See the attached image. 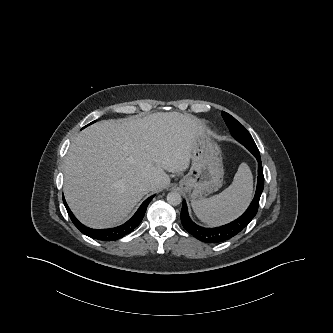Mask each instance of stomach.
Wrapping results in <instances>:
<instances>
[{"label": "stomach", "instance_id": "0dacf381", "mask_svg": "<svg viewBox=\"0 0 333 333\" xmlns=\"http://www.w3.org/2000/svg\"><path fill=\"white\" fill-rule=\"evenodd\" d=\"M191 159V168L179 184L192 200H201L223 184L221 151L209 136L203 134L192 147Z\"/></svg>", "mask_w": 333, "mask_h": 333}]
</instances>
